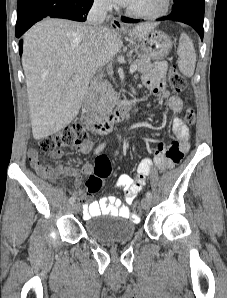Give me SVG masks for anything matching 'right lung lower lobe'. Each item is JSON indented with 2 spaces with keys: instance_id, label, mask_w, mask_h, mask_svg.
Returning a JSON list of instances; mask_svg holds the SVG:
<instances>
[{
  "instance_id": "1",
  "label": "right lung lower lobe",
  "mask_w": 227,
  "mask_h": 298,
  "mask_svg": "<svg viewBox=\"0 0 227 298\" xmlns=\"http://www.w3.org/2000/svg\"><path fill=\"white\" fill-rule=\"evenodd\" d=\"M93 0H25L18 4L15 34L21 37L32 25L46 17L85 21ZM20 54L22 41L19 42Z\"/></svg>"
}]
</instances>
